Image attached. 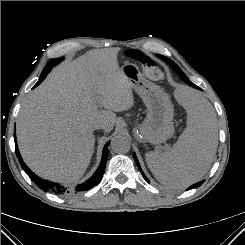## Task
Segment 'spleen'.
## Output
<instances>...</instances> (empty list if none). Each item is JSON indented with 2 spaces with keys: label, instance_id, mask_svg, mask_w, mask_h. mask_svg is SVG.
I'll use <instances>...</instances> for the list:
<instances>
[{
  "label": "spleen",
  "instance_id": "spleen-1",
  "mask_svg": "<svg viewBox=\"0 0 245 245\" xmlns=\"http://www.w3.org/2000/svg\"><path fill=\"white\" fill-rule=\"evenodd\" d=\"M183 106L187 127L172 149L145 154L154 177L170 188H184L203 178L218 146L217 118L210 102L200 93L185 90Z\"/></svg>",
  "mask_w": 245,
  "mask_h": 245
}]
</instances>
